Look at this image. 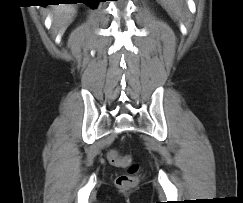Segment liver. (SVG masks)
<instances>
[{
  "label": "liver",
  "instance_id": "6515ba94",
  "mask_svg": "<svg viewBox=\"0 0 243 203\" xmlns=\"http://www.w3.org/2000/svg\"><path fill=\"white\" fill-rule=\"evenodd\" d=\"M53 21L57 27H67L76 13L75 6H62L53 8Z\"/></svg>",
  "mask_w": 243,
  "mask_h": 203
}]
</instances>
